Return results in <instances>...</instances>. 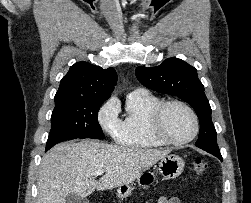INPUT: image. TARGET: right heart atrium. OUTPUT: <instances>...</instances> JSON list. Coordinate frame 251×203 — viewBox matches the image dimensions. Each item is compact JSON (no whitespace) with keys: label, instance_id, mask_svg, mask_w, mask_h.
Listing matches in <instances>:
<instances>
[{"label":"right heart atrium","instance_id":"1","mask_svg":"<svg viewBox=\"0 0 251 203\" xmlns=\"http://www.w3.org/2000/svg\"><path fill=\"white\" fill-rule=\"evenodd\" d=\"M98 121L102 129L113 136L119 131L121 120L118 116V104L113 98L109 99L106 104L100 109Z\"/></svg>","mask_w":251,"mask_h":203}]
</instances>
